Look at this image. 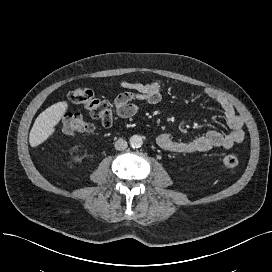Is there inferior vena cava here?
I'll use <instances>...</instances> for the list:
<instances>
[{
    "label": "inferior vena cava",
    "mask_w": 272,
    "mask_h": 272,
    "mask_svg": "<svg viewBox=\"0 0 272 272\" xmlns=\"http://www.w3.org/2000/svg\"><path fill=\"white\" fill-rule=\"evenodd\" d=\"M127 142L126 140L124 139H118L116 142H115V149L116 150H125L127 148Z\"/></svg>",
    "instance_id": "602c4592"
}]
</instances>
